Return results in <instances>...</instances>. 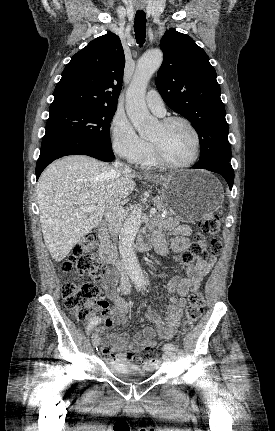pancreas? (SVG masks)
<instances>
[{"instance_id":"cf45deb5","label":"pancreas","mask_w":275,"mask_h":431,"mask_svg":"<svg viewBox=\"0 0 275 431\" xmlns=\"http://www.w3.org/2000/svg\"><path fill=\"white\" fill-rule=\"evenodd\" d=\"M154 205L156 206V208L160 211L165 213V215H169L170 213L168 212V206L167 204L164 202V200L160 199V198H154Z\"/></svg>"}]
</instances>
